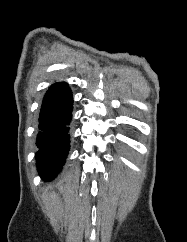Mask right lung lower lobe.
<instances>
[{"label":"right lung lower lobe","mask_w":187,"mask_h":242,"mask_svg":"<svg viewBox=\"0 0 187 242\" xmlns=\"http://www.w3.org/2000/svg\"><path fill=\"white\" fill-rule=\"evenodd\" d=\"M72 104V93L66 83L51 85L43 98L35 157L39 174L44 180L56 177L68 155Z\"/></svg>","instance_id":"right-lung-lower-lobe-1"}]
</instances>
